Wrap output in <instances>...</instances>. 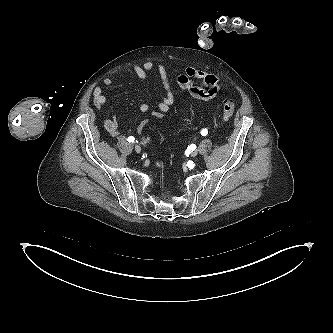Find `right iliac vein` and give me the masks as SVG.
Listing matches in <instances>:
<instances>
[{
    "label": "right iliac vein",
    "mask_w": 333,
    "mask_h": 333,
    "mask_svg": "<svg viewBox=\"0 0 333 333\" xmlns=\"http://www.w3.org/2000/svg\"><path fill=\"white\" fill-rule=\"evenodd\" d=\"M135 151H136L137 153H140V152H141V147L138 146V145H136V146H135Z\"/></svg>",
    "instance_id": "63e3f726"
}]
</instances>
